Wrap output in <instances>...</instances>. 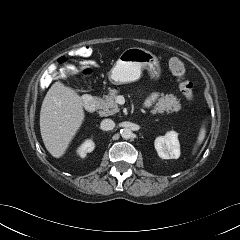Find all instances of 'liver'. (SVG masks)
<instances>
[{
    "instance_id": "liver-1",
    "label": "liver",
    "mask_w": 240,
    "mask_h": 240,
    "mask_svg": "<svg viewBox=\"0 0 240 240\" xmlns=\"http://www.w3.org/2000/svg\"><path fill=\"white\" fill-rule=\"evenodd\" d=\"M85 118L82 97L62 82L48 90L40 111V132L48 152L62 157Z\"/></svg>"
}]
</instances>
